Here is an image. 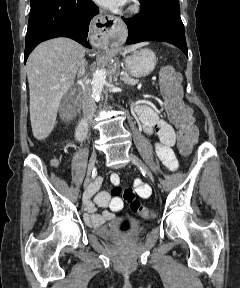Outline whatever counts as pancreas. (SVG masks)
Here are the masks:
<instances>
[{"mask_svg":"<svg viewBox=\"0 0 240 288\" xmlns=\"http://www.w3.org/2000/svg\"><path fill=\"white\" fill-rule=\"evenodd\" d=\"M121 80L128 85H135L137 80L131 78L129 75H124Z\"/></svg>","mask_w":240,"mask_h":288,"instance_id":"obj_1","label":"pancreas"}]
</instances>
